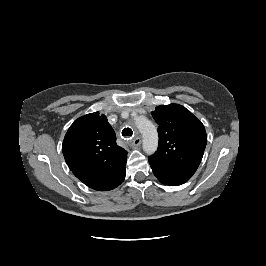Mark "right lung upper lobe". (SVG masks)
<instances>
[{
  "label": "right lung upper lobe",
  "mask_w": 266,
  "mask_h": 266,
  "mask_svg": "<svg viewBox=\"0 0 266 266\" xmlns=\"http://www.w3.org/2000/svg\"><path fill=\"white\" fill-rule=\"evenodd\" d=\"M62 151L73 174L94 190H112L125 179L127 151L116 144L114 130L99 112L73 122Z\"/></svg>",
  "instance_id": "obj_1"
}]
</instances>
